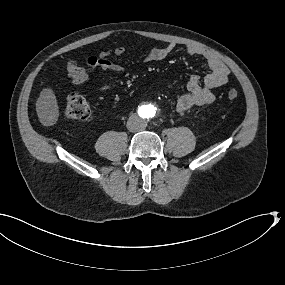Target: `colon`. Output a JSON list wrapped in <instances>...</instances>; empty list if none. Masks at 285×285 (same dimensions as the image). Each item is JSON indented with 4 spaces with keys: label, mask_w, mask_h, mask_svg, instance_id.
Returning <instances> with one entry per match:
<instances>
[{
    "label": "colon",
    "mask_w": 285,
    "mask_h": 285,
    "mask_svg": "<svg viewBox=\"0 0 285 285\" xmlns=\"http://www.w3.org/2000/svg\"><path fill=\"white\" fill-rule=\"evenodd\" d=\"M67 74L70 81L75 84H81L87 78L85 69L77 65L74 61L68 63ZM227 96L230 100H234L238 97V91L230 89ZM64 114L71 119L85 120L89 118L91 111L86 99L81 94L74 92L66 99Z\"/></svg>",
    "instance_id": "1"
}]
</instances>
